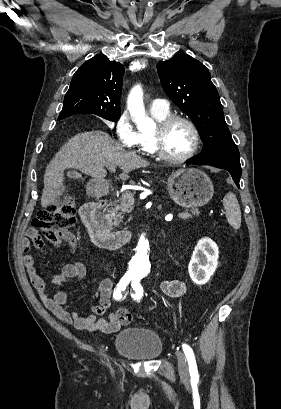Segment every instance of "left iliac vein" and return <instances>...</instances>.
<instances>
[{"label": "left iliac vein", "instance_id": "4c4485c4", "mask_svg": "<svg viewBox=\"0 0 281 409\" xmlns=\"http://www.w3.org/2000/svg\"><path fill=\"white\" fill-rule=\"evenodd\" d=\"M177 359H178V369L181 376L187 378L189 376V368L186 356L183 352L177 351L176 352Z\"/></svg>", "mask_w": 281, "mask_h": 409}]
</instances>
